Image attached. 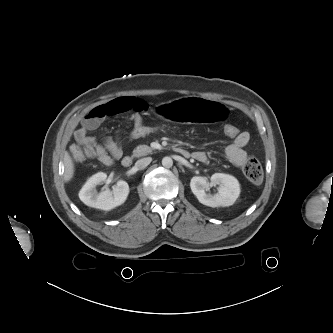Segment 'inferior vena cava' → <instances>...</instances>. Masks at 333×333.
<instances>
[{"instance_id":"inferior-vena-cava-1","label":"inferior vena cava","mask_w":333,"mask_h":333,"mask_svg":"<svg viewBox=\"0 0 333 333\" xmlns=\"http://www.w3.org/2000/svg\"><path fill=\"white\" fill-rule=\"evenodd\" d=\"M151 161H152L151 157L142 158L135 163V166L137 169L142 170L146 168Z\"/></svg>"}]
</instances>
